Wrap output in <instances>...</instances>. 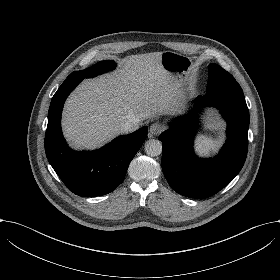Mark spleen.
<instances>
[{"label": "spleen", "mask_w": 280, "mask_h": 280, "mask_svg": "<svg viewBox=\"0 0 280 280\" xmlns=\"http://www.w3.org/2000/svg\"><path fill=\"white\" fill-rule=\"evenodd\" d=\"M220 143L212 136L202 135L196 139V152L200 156H208L211 152H216Z\"/></svg>", "instance_id": "1"}]
</instances>
